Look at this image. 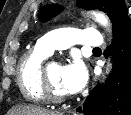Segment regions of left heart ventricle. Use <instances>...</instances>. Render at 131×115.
Instances as JSON below:
<instances>
[{
    "label": "left heart ventricle",
    "instance_id": "1",
    "mask_svg": "<svg viewBox=\"0 0 131 115\" xmlns=\"http://www.w3.org/2000/svg\"><path fill=\"white\" fill-rule=\"evenodd\" d=\"M61 67L57 64H49L46 68V76L51 92L58 96H65L60 80Z\"/></svg>",
    "mask_w": 131,
    "mask_h": 115
}]
</instances>
